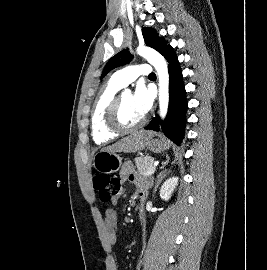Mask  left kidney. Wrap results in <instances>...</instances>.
I'll list each match as a JSON object with an SVG mask.
<instances>
[{
  "instance_id": "obj_1",
  "label": "left kidney",
  "mask_w": 267,
  "mask_h": 270,
  "mask_svg": "<svg viewBox=\"0 0 267 270\" xmlns=\"http://www.w3.org/2000/svg\"><path fill=\"white\" fill-rule=\"evenodd\" d=\"M178 183V177H171L167 179L160 189V197L167 201L171 197L174 189L176 188Z\"/></svg>"
}]
</instances>
